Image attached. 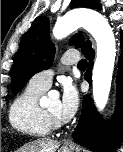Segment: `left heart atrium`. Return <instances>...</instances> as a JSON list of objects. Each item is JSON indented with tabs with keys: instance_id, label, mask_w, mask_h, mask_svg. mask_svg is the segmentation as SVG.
<instances>
[{
	"instance_id": "left-heart-atrium-1",
	"label": "left heart atrium",
	"mask_w": 123,
	"mask_h": 152,
	"mask_svg": "<svg viewBox=\"0 0 123 152\" xmlns=\"http://www.w3.org/2000/svg\"><path fill=\"white\" fill-rule=\"evenodd\" d=\"M78 105L79 95L76 87L70 82H65L60 99V118L63 121L70 120L76 113Z\"/></svg>"
}]
</instances>
